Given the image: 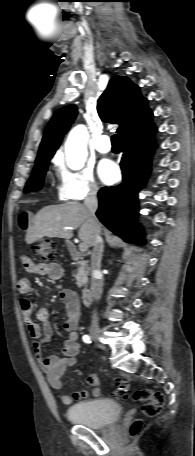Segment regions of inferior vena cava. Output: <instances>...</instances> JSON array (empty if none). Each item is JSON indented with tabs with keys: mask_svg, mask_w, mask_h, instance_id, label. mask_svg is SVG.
I'll return each instance as SVG.
<instances>
[{
	"mask_svg": "<svg viewBox=\"0 0 195 456\" xmlns=\"http://www.w3.org/2000/svg\"><path fill=\"white\" fill-rule=\"evenodd\" d=\"M97 192L98 189L96 187L92 188L84 201V206L86 207L90 222L94 229V243H93V252L91 255V291L95 300H100L103 290V281H102V274L100 272V263L101 257L103 252V239L100 235V224L98 219L95 215L96 210L98 208V200H97ZM92 325H98V318L97 313L94 311L92 316Z\"/></svg>",
	"mask_w": 195,
	"mask_h": 456,
	"instance_id": "602c4592",
	"label": "inferior vena cava"
}]
</instances>
